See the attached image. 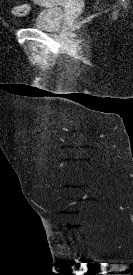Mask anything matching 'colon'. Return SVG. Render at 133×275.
I'll use <instances>...</instances> for the list:
<instances>
[{
    "label": "colon",
    "instance_id": "colon-1",
    "mask_svg": "<svg viewBox=\"0 0 133 275\" xmlns=\"http://www.w3.org/2000/svg\"><path fill=\"white\" fill-rule=\"evenodd\" d=\"M28 5H20L14 8L15 15H23L28 12Z\"/></svg>",
    "mask_w": 133,
    "mask_h": 275
}]
</instances>
